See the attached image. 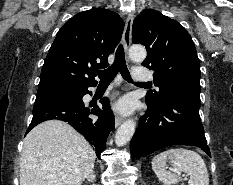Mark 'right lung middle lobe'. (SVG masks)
<instances>
[{
    "label": "right lung middle lobe",
    "mask_w": 233,
    "mask_h": 185,
    "mask_svg": "<svg viewBox=\"0 0 233 185\" xmlns=\"http://www.w3.org/2000/svg\"><path fill=\"white\" fill-rule=\"evenodd\" d=\"M48 91H67V92H71L72 89L48 90ZM39 92H44V91H38L37 93H39Z\"/></svg>",
    "instance_id": "1"
}]
</instances>
